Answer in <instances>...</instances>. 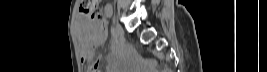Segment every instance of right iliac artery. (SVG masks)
<instances>
[{"label": "right iliac artery", "instance_id": "1", "mask_svg": "<svg viewBox=\"0 0 267 72\" xmlns=\"http://www.w3.org/2000/svg\"><path fill=\"white\" fill-rule=\"evenodd\" d=\"M111 34H112V36H113L114 38L117 37V34H116L114 28H111Z\"/></svg>", "mask_w": 267, "mask_h": 72}]
</instances>
